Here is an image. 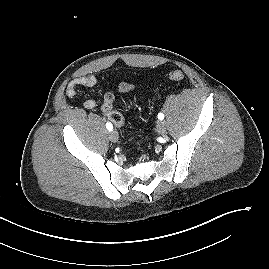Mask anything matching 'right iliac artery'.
Segmentation results:
<instances>
[{
	"instance_id": "82829eb1",
	"label": "right iliac artery",
	"mask_w": 269,
	"mask_h": 269,
	"mask_svg": "<svg viewBox=\"0 0 269 269\" xmlns=\"http://www.w3.org/2000/svg\"><path fill=\"white\" fill-rule=\"evenodd\" d=\"M106 128H107L109 131H112L113 126H112V124H111L110 122H107V123H106Z\"/></svg>"
}]
</instances>
